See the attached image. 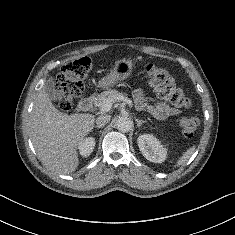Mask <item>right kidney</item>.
<instances>
[{
  "label": "right kidney",
  "mask_w": 235,
  "mask_h": 235,
  "mask_svg": "<svg viewBox=\"0 0 235 235\" xmlns=\"http://www.w3.org/2000/svg\"><path fill=\"white\" fill-rule=\"evenodd\" d=\"M94 146H95V139L92 137H89V138L84 139L79 144L78 149L80 151V154L83 157H87L92 153Z\"/></svg>",
  "instance_id": "obj_1"
}]
</instances>
